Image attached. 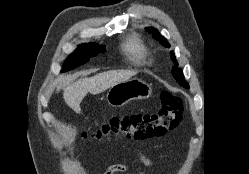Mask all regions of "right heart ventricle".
I'll list each match as a JSON object with an SVG mask.
<instances>
[{"label":"right heart ventricle","instance_id":"obj_1","mask_svg":"<svg viewBox=\"0 0 249 174\" xmlns=\"http://www.w3.org/2000/svg\"><path fill=\"white\" fill-rule=\"evenodd\" d=\"M124 51L127 56L137 64H142L147 59L146 47L136 37H132L126 41Z\"/></svg>","mask_w":249,"mask_h":174}]
</instances>
